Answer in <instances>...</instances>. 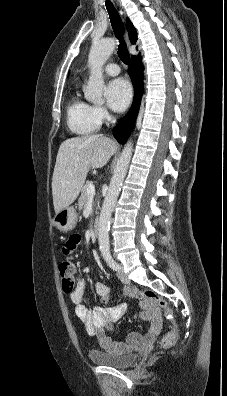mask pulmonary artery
Here are the masks:
<instances>
[{"label": "pulmonary artery", "mask_w": 227, "mask_h": 396, "mask_svg": "<svg viewBox=\"0 0 227 396\" xmlns=\"http://www.w3.org/2000/svg\"><path fill=\"white\" fill-rule=\"evenodd\" d=\"M104 71L109 75L115 76L120 73V68L117 64L109 63L105 66Z\"/></svg>", "instance_id": "1"}]
</instances>
